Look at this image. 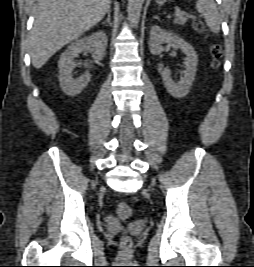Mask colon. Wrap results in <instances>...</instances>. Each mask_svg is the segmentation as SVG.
<instances>
[{
    "label": "colon",
    "instance_id": "5ec220e1",
    "mask_svg": "<svg viewBox=\"0 0 254 267\" xmlns=\"http://www.w3.org/2000/svg\"><path fill=\"white\" fill-rule=\"evenodd\" d=\"M193 26L196 30L198 31H203L204 30V24L199 18H195L193 20ZM211 55H212V66L214 68H217L220 64V59L222 57V47L219 44H213L211 46ZM131 208L127 203H120L117 206V215L121 219H127L131 215ZM121 244L124 248H129L132 245V239L128 235H124L121 238Z\"/></svg>",
    "mask_w": 254,
    "mask_h": 267
}]
</instances>
